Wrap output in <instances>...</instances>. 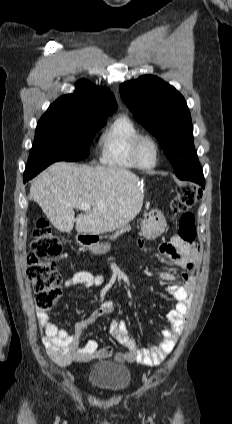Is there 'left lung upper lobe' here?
Listing matches in <instances>:
<instances>
[{"label": "left lung upper lobe", "instance_id": "1", "mask_svg": "<svg viewBox=\"0 0 232 424\" xmlns=\"http://www.w3.org/2000/svg\"><path fill=\"white\" fill-rule=\"evenodd\" d=\"M119 90L134 118L160 141L179 179L201 168L189 109L174 87L156 76L144 75L121 84Z\"/></svg>", "mask_w": 232, "mask_h": 424}]
</instances>
